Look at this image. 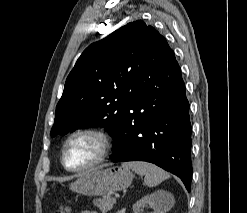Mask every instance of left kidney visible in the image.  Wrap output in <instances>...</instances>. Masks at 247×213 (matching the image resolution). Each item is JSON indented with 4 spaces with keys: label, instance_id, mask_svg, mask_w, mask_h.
Instances as JSON below:
<instances>
[{
    "label": "left kidney",
    "instance_id": "1",
    "mask_svg": "<svg viewBox=\"0 0 247 213\" xmlns=\"http://www.w3.org/2000/svg\"><path fill=\"white\" fill-rule=\"evenodd\" d=\"M165 198L164 192H155L146 195L133 205L134 213H143V208L149 206L153 209L152 213H164L163 199Z\"/></svg>",
    "mask_w": 247,
    "mask_h": 213
}]
</instances>
